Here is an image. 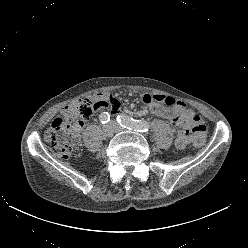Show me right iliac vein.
Listing matches in <instances>:
<instances>
[{
  "label": "right iliac vein",
  "mask_w": 248,
  "mask_h": 248,
  "mask_svg": "<svg viewBox=\"0 0 248 248\" xmlns=\"http://www.w3.org/2000/svg\"><path fill=\"white\" fill-rule=\"evenodd\" d=\"M115 132V127L112 124H108L103 127V135L106 137H112Z\"/></svg>",
  "instance_id": "right-iliac-vein-1"
}]
</instances>
